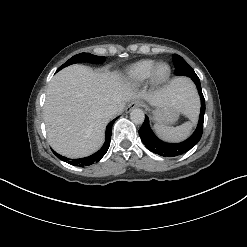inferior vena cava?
Returning <instances> with one entry per match:
<instances>
[{
	"label": "inferior vena cava",
	"mask_w": 247,
	"mask_h": 247,
	"mask_svg": "<svg viewBox=\"0 0 247 247\" xmlns=\"http://www.w3.org/2000/svg\"><path fill=\"white\" fill-rule=\"evenodd\" d=\"M119 112V107L117 106H110L105 110V116L108 118L113 117L114 115H116Z\"/></svg>",
	"instance_id": "1"
}]
</instances>
